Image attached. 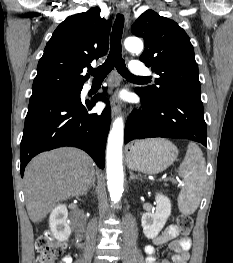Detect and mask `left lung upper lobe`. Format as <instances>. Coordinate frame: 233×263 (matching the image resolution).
Here are the masks:
<instances>
[{
  "label": "left lung upper lobe",
  "instance_id": "5c2ea615",
  "mask_svg": "<svg viewBox=\"0 0 233 263\" xmlns=\"http://www.w3.org/2000/svg\"><path fill=\"white\" fill-rule=\"evenodd\" d=\"M132 31L145 41L140 61L160 76L155 79L157 86L137 88L151 102L174 93L201 94L193 46L176 22L147 10L135 21Z\"/></svg>",
  "mask_w": 233,
  "mask_h": 263
}]
</instances>
